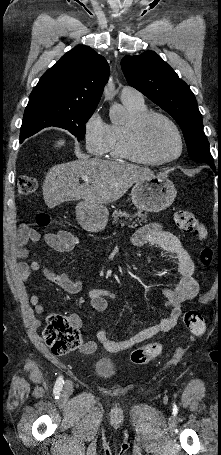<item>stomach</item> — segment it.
<instances>
[{
	"instance_id": "0dacf381",
	"label": "stomach",
	"mask_w": 221,
	"mask_h": 455,
	"mask_svg": "<svg viewBox=\"0 0 221 455\" xmlns=\"http://www.w3.org/2000/svg\"><path fill=\"white\" fill-rule=\"evenodd\" d=\"M177 190L172 181L153 175L135 183L131 190L133 204L147 212H160L174 202ZM108 209L102 204L81 202L76 207V216L83 228L97 232L105 228Z\"/></svg>"
}]
</instances>
